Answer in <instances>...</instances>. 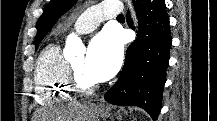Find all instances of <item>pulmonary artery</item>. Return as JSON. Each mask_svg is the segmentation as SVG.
I'll return each mask as SVG.
<instances>
[{
	"label": "pulmonary artery",
	"instance_id": "obj_1",
	"mask_svg": "<svg viewBox=\"0 0 217 121\" xmlns=\"http://www.w3.org/2000/svg\"><path fill=\"white\" fill-rule=\"evenodd\" d=\"M122 11L116 2H102L94 5L82 13L74 22L73 29L80 34L93 31L101 21L116 18Z\"/></svg>",
	"mask_w": 217,
	"mask_h": 121
}]
</instances>
